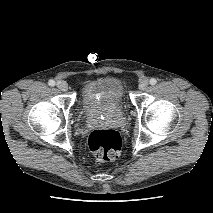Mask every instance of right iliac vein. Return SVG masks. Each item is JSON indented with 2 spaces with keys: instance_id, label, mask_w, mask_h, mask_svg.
Segmentation results:
<instances>
[{
  "instance_id": "1",
  "label": "right iliac vein",
  "mask_w": 213,
  "mask_h": 213,
  "mask_svg": "<svg viewBox=\"0 0 213 213\" xmlns=\"http://www.w3.org/2000/svg\"><path fill=\"white\" fill-rule=\"evenodd\" d=\"M56 86L58 87V89H60L61 91H67L68 90V85L66 82L63 81H58Z\"/></svg>"
}]
</instances>
